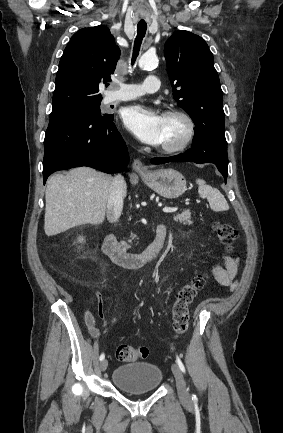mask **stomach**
<instances>
[{
  "label": "stomach",
  "mask_w": 283,
  "mask_h": 433,
  "mask_svg": "<svg viewBox=\"0 0 283 433\" xmlns=\"http://www.w3.org/2000/svg\"><path fill=\"white\" fill-rule=\"evenodd\" d=\"M142 180L165 198H177L186 190V178L174 168L140 170Z\"/></svg>",
  "instance_id": "stomach-1"
}]
</instances>
